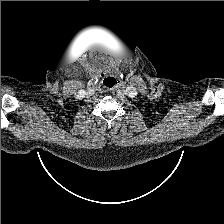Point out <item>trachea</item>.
I'll list each match as a JSON object with an SVG mask.
<instances>
[{"instance_id": "obj_1", "label": "trachea", "mask_w": 224, "mask_h": 224, "mask_svg": "<svg viewBox=\"0 0 224 224\" xmlns=\"http://www.w3.org/2000/svg\"><path fill=\"white\" fill-rule=\"evenodd\" d=\"M111 80H109V82H107L106 80H105V83H107V85L109 86V87H112V86H114L116 83H117V81H116V79L115 78H110Z\"/></svg>"}]
</instances>
